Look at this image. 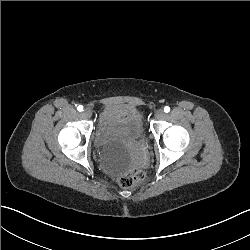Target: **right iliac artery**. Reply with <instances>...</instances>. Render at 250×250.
I'll return each mask as SVG.
<instances>
[{
    "label": "right iliac artery",
    "instance_id": "82829eb1",
    "mask_svg": "<svg viewBox=\"0 0 250 250\" xmlns=\"http://www.w3.org/2000/svg\"><path fill=\"white\" fill-rule=\"evenodd\" d=\"M77 110H78L79 112L83 111V106H82V105H79V106L77 107Z\"/></svg>",
    "mask_w": 250,
    "mask_h": 250
}]
</instances>
